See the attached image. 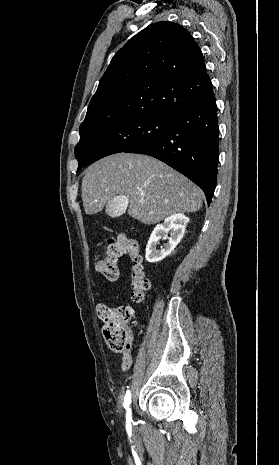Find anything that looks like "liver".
I'll return each instance as SVG.
<instances>
[{"mask_svg":"<svg viewBox=\"0 0 279 465\" xmlns=\"http://www.w3.org/2000/svg\"><path fill=\"white\" fill-rule=\"evenodd\" d=\"M129 203L128 215L156 224L177 213L202 207L203 192L165 163L140 154L119 153L88 167L82 180L85 213L97 214L116 195Z\"/></svg>","mask_w":279,"mask_h":465,"instance_id":"6515ba94","label":"liver"}]
</instances>
